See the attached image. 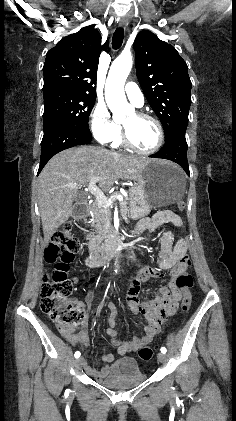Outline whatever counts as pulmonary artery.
<instances>
[{"label":"pulmonary artery","instance_id":"pulmonary-artery-1","mask_svg":"<svg viewBox=\"0 0 236 421\" xmlns=\"http://www.w3.org/2000/svg\"><path fill=\"white\" fill-rule=\"evenodd\" d=\"M125 92L128 99L137 107L141 108L144 105V96L141 90L135 84H126Z\"/></svg>","mask_w":236,"mask_h":421}]
</instances>
